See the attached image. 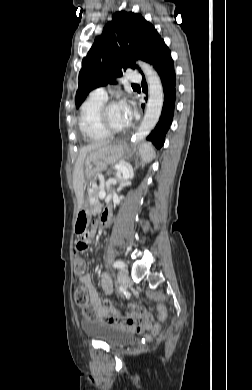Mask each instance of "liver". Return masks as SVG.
<instances>
[{
  "instance_id": "1",
  "label": "liver",
  "mask_w": 252,
  "mask_h": 390,
  "mask_svg": "<svg viewBox=\"0 0 252 390\" xmlns=\"http://www.w3.org/2000/svg\"><path fill=\"white\" fill-rule=\"evenodd\" d=\"M108 145L109 144L107 142H95L81 148L78 159L75 163L74 173H73V187L79 203H81L83 199V188H84L83 166H84V161L86 159V156L89 152L106 147Z\"/></svg>"
}]
</instances>
